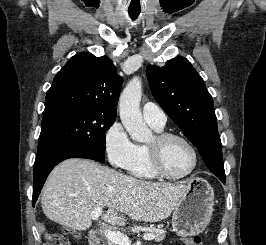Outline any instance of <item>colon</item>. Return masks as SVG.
<instances>
[{"instance_id":"1","label":"colon","mask_w":266,"mask_h":245,"mask_svg":"<svg viewBox=\"0 0 266 245\" xmlns=\"http://www.w3.org/2000/svg\"><path fill=\"white\" fill-rule=\"evenodd\" d=\"M46 239H47L48 245H69V242L63 235L55 233V232L47 233ZM193 242H194V245H201V238L198 236H195L193 238Z\"/></svg>"}]
</instances>
